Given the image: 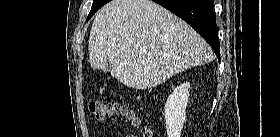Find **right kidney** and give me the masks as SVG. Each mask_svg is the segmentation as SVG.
Listing matches in <instances>:
<instances>
[{
	"instance_id": "1",
	"label": "right kidney",
	"mask_w": 280,
	"mask_h": 137,
	"mask_svg": "<svg viewBox=\"0 0 280 137\" xmlns=\"http://www.w3.org/2000/svg\"><path fill=\"white\" fill-rule=\"evenodd\" d=\"M190 83L176 87L165 103V124L168 137H180L186 119Z\"/></svg>"
}]
</instances>
